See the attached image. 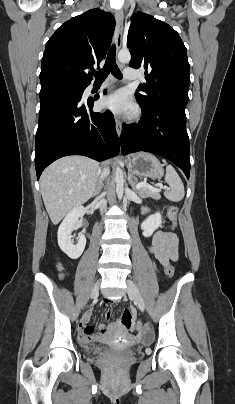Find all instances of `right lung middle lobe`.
Wrapping results in <instances>:
<instances>
[{"label":"right lung middle lobe","instance_id":"right-lung-middle-lobe-1","mask_svg":"<svg viewBox=\"0 0 235 404\" xmlns=\"http://www.w3.org/2000/svg\"><path fill=\"white\" fill-rule=\"evenodd\" d=\"M85 85L51 82L41 85L40 99L50 95L81 99Z\"/></svg>","mask_w":235,"mask_h":404}]
</instances>
